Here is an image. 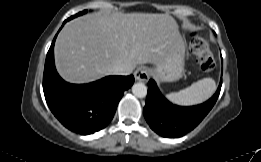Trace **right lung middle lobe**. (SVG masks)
<instances>
[{
	"instance_id": "dd1d6c3e",
	"label": "right lung middle lobe",
	"mask_w": 261,
	"mask_h": 162,
	"mask_svg": "<svg viewBox=\"0 0 261 162\" xmlns=\"http://www.w3.org/2000/svg\"><path fill=\"white\" fill-rule=\"evenodd\" d=\"M84 13H86V11H82V12L76 14L75 16L77 17V16L82 15V14H84Z\"/></svg>"
}]
</instances>
